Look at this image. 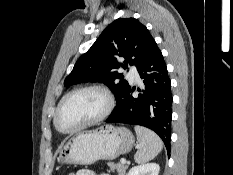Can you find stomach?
<instances>
[{
  "instance_id": "0dacf381",
  "label": "stomach",
  "mask_w": 233,
  "mask_h": 175,
  "mask_svg": "<svg viewBox=\"0 0 233 175\" xmlns=\"http://www.w3.org/2000/svg\"><path fill=\"white\" fill-rule=\"evenodd\" d=\"M135 143L125 127L103 125L72 136L59 148L58 161L66 164L90 165L97 160H113L130 152Z\"/></svg>"
}]
</instances>
